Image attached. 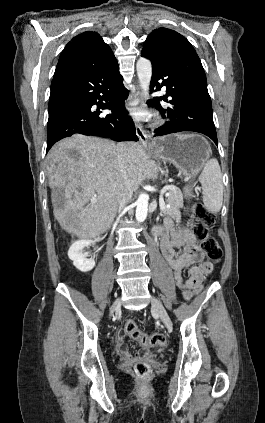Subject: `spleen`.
<instances>
[{
  "label": "spleen",
  "mask_w": 265,
  "mask_h": 423,
  "mask_svg": "<svg viewBox=\"0 0 265 423\" xmlns=\"http://www.w3.org/2000/svg\"><path fill=\"white\" fill-rule=\"evenodd\" d=\"M202 185L203 203L211 213H218L223 202L222 173L216 159L207 160L199 176Z\"/></svg>",
  "instance_id": "3e777b00"
}]
</instances>
